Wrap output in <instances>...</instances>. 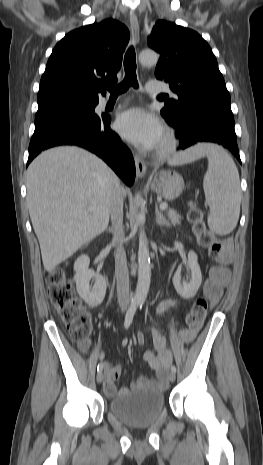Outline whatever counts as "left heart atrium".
<instances>
[{
  "instance_id": "left-heart-atrium-1",
  "label": "left heart atrium",
  "mask_w": 263,
  "mask_h": 465,
  "mask_svg": "<svg viewBox=\"0 0 263 465\" xmlns=\"http://www.w3.org/2000/svg\"><path fill=\"white\" fill-rule=\"evenodd\" d=\"M115 129L123 138L144 149L157 147L163 137L158 118L143 108L122 112L115 121Z\"/></svg>"
}]
</instances>
